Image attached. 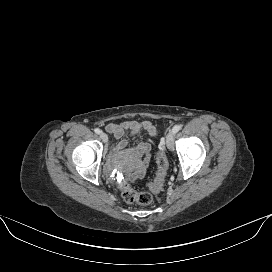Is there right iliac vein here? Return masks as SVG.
<instances>
[{"label": "right iliac vein", "instance_id": "1", "mask_svg": "<svg viewBox=\"0 0 272 272\" xmlns=\"http://www.w3.org/2000/svg\"><path fill=\"white\" fill-rule=\"evenodd\" d=\"M100 138L102 139L103 142H107L108 141V136L104 132L100 133Z\"/></svg>", "mask_w": 272, "mask_h": 272}]
</instances>
